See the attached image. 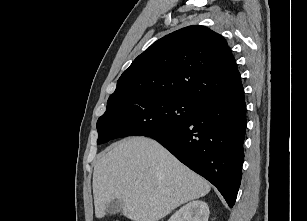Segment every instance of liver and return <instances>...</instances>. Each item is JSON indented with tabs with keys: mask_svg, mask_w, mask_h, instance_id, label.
<instances>
[{
	"mask_svg": "<svg viewBox=\"0 0 307 221\" xmlns=\"http://www.w3.org/2000/svg\"><path fill=\"white\" fill-rule=\"evenodd\" d=\"M209 183L179 162L156 141L123 139L103 151L94 166L95 216L122 201V214L133 221H159L180 205L210 192Z\"/></svg>",
	"mask_w": 307,
	"mask_h": 221,
	"instance_id": "obj_1",
	"label": "liver"
}]
</instances>
